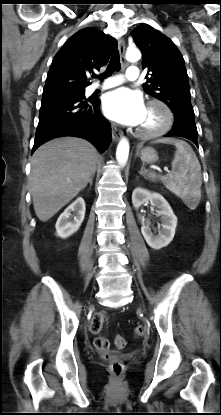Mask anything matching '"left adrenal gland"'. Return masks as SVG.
<instances>
[{"instance_id": "a2214340", "label": "left adrenal gland", "mask_w": 221, "mask_h": 415, "mask_svg": "<svg viewBox=\"0 0 221 415\" xmlns=\"http://www.w3.org/2000/svg\"><path fill=\"white\" fill-rule=\"evenodd\" d=\"M143 169H144V167L141 168V171L139 172L140 174H143Z\"/></svg>"}]
</instances>
